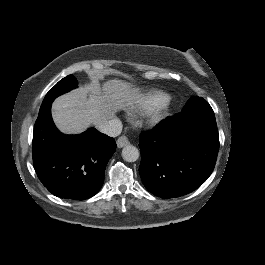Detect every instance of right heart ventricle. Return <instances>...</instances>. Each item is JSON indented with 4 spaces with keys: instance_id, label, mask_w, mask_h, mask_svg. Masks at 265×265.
I'll use <instances>...</instances> for the list:
<instances>
[{
    "instance_id": "obj_1",
    "label": "right heart ventricle",
    "mask_w": 265,
    "mask_h": 265,
    "mask_svg": "<svg viewBox=\"0 0 265 265\" xmlns=\"http://www.w3.org/2000/svg\"><path fill=\"white\" fill-rule=\"evenodd\" d=\"M157 94H158V92H152V93L145 95L134 106H130L129 104H122V103L116 102L113 105V109L115 111H121L124 114L129 113V111L133 108L144 109L152 102V100L154 99V97Z\"/></svg>"
}]
</instances>
